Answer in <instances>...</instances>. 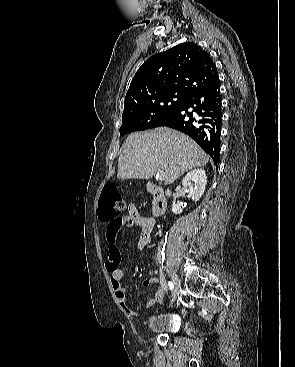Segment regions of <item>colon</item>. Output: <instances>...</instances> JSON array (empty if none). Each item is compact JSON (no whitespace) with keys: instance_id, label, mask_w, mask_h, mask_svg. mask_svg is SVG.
Masks as SVG:
<instances>
[{"instance_id":"colon-1","label":"colon","mask_w":295,"mask_h":367,"mask_svg":"<svg viewBox=\"0 0 295 367\" xmlns=\"http://www.w3.org/2000/svg\"><path fill=\"white\" fill-rule=\"evenodd\" d=\"M124 209L123 198L113 183L104 185L100 196V216L103 221H113L120 218Z\"/></svg>"}]
</instances>
